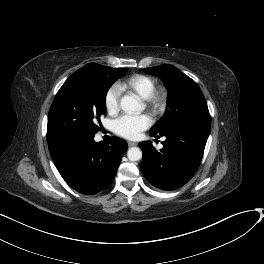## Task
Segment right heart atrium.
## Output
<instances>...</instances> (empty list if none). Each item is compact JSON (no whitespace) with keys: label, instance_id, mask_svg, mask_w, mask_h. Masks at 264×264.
I'll return each instance as SVG.
<instances>
[{"label":"right heart atrium","instance_id":"1","mask_svg":"<svg viewBox=\"0 0 264 264\" xmlns=\"http://www.w3.org/2000/svg\"><path fill=\"white\" fill-rule=\"evenodd\" d=\"M121 90L118 86H112L105 94V107L109 114H116L120 108Z\"/></svg>","mask_w":264,"mask_h":264}]
</instances>
